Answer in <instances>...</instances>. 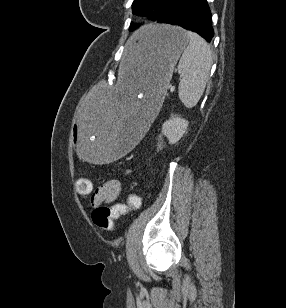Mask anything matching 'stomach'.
I'll return each mask as SVG.
<instances>
[{
    "label": "stomach",
    "instance_id": "stomach-1",
    "mask_svg": "<svg viewBox=\"0 0 286 308\" xmlns=\"http://www.w3.org/2000/svg\"><path fill=\"white\" fill-rule=\"evenodd\" d=\"M189 43L184 29L152 24L124 44L117 86H100L82 100L73 125L76 159L84 164H115L152 125L153 109L160 107L175 65Z\"/></svg>",
    "mask_w": 286,
    "mask_h": 308
}]
</instances>
